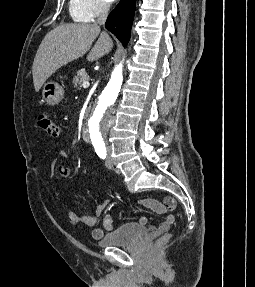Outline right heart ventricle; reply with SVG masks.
I'll use <instances>...</instances> for the list:
<instances>
[{"mask_svg": "<svg viewBox=\"0 0 255 287\" xmlns=\"http://www.w3.org/2000/svg\"><path fill=\"white\" fill-rule=\"evenodd\" d=\"M86 33H98V32H86Z\"/></svg>", "mask_w": 255, "mask_h": 287, "instance_id": "right-heart-ventricle-1", "label": "right heart ventricle"}]
</instances>
